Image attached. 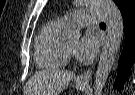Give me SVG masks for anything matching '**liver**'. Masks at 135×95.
<instances>
[{"label":"liver","mask_w":135,"mask_h":95,"mask_svg":"<svg viewBox=\"0 0 135 95\" xmlns=\"http://www.w3.org/2000/svg\"><path fill=\"white\" fill-rule=\"evenodd\" d=\"M73 72L64 70H43L36 73L24 87L25 95H58L69 84Z\"/></svg>","instance_id":"1"}]
</instances>
